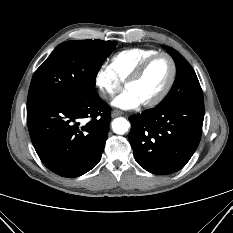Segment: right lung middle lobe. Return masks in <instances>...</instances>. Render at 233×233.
Instances as JSON below:
<instances>
[{
  "label": "right lung middle lobe",
  "instance_id": "right-lung-middle-lobe-1",
  "mask_svg": "<svg viewBox=\"0 0 233 233\" xmlns=\"http://www.w3.org/2000/svg\"><path fill=\"white\" fill-rule=\"evenodd\" d=\"M117 43L101 40L59 44L34 73L27 106L81 96L94 90L97 73Z\"/></svg>",
  "mask_w": 233,
  "mask_h": 233
}]
</instances>
